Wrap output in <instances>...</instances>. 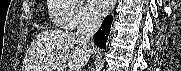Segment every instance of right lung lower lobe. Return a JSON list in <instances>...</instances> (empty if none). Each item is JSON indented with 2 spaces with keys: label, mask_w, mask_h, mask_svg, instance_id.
<instances>
[{
  "label": "right lung lower lobe",
  "mask_w": 181,
  "mask_h": 71,
  "mask_svg": "<svg viewBox=\"0 0 181 71\" xmlns=\"http://www.w3.org/2000/svg\"><path fill=\"white\" fill-rule=\"evenodd\" d=\"M111 24H112V16L109 15L104 19L101 28L93 36L94 42L97 46L101 48L106 47L107 38L111 29Z\"/></svg>",
  "instance_id": "obj_1"
}]
</instances>
